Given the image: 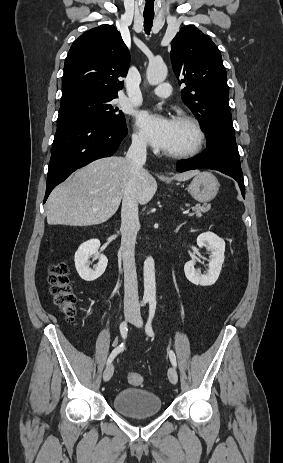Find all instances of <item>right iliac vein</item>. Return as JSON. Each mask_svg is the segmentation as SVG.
<instances>
[{"instance_id": "1", "label": "right iliac vein", "mask_w": 283, "mask_h": 463, "mask_svg": "<svg viewBox=\"0 0 283 463\" xmlns=\"http://www.w3.org/2000/svg\"><path fill=\"white\" fill-rule=\"evenodd\" d=\"M134 315V312L132 310H126L125 311V318L130 319ZM114 373V366L113 364H109L104 373H103V380L105 382L109 381Z\"/></svg>"}]
</instances>
